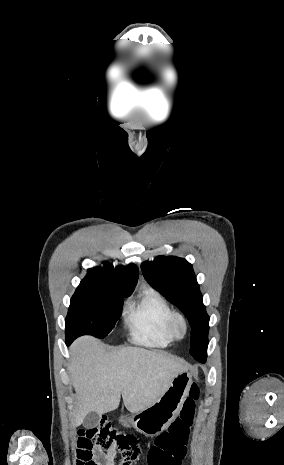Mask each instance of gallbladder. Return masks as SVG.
Wrapping results in <instances>:
<instances>
[{"mask_svg":"<svg viewBox=\"0 0 284 465\" xmlns=\"http://www.w3.org/2000/svg\"><path fill=\"white\" fill-rule=\"evenodd\" d=\"M99 421V415H96V413H89L83 421V427H86V429H94V427H98Z\"/></svg>","mask_w":284,"mask_h":465,"instance_id":"bac80fb5","label":"gallbladder"}]
</instances>
